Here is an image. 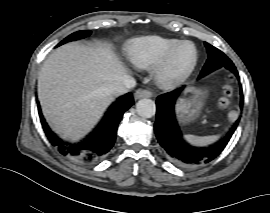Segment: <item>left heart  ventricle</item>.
Returning a JSON list of instances; mask_svg holds the SVG:
<instances>
[{
  "instance_id": "left-heart-ventricle-1",
  "label": "left heart ventricle",
  "mask_w": 270,
  "mask_h": 213,
  "mask_svg": "<svg viewBox=\"0 0 270 213\" xmlns=\"http://www.w3.org/2000/svg\"><path fill=\"white\" fill-rule=\"evenodd\" d=\"M193 48L189 44H182L179 46L173 56L172 68L173 70H182L186 68L193 60Z\"/></svg>"
}]
</instances>
